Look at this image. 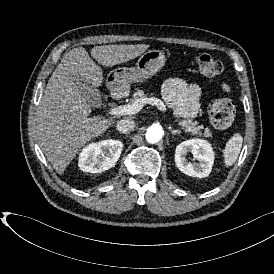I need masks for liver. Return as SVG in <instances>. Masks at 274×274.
<instances>
[{
  "label": "liver",
  "instance_id": "1",
  "mask_svg": "<svg viewBox=\"0 0 274 274\" xmlns=\"http://www.w3.org/2000/svg\"><path fill=\"white\" fill-rule=\"evenodd\" d=\"M150 45H102L90 56L103 68H111L142 55ZM87 50L75 47L61 60L40 99L36 133L40 148L57 173L63 175L82 148L104 133L118 119L94 116L86 95L103 86V70Z\"/></svg>",
  "mask_w": 274,
  "mask_h": 274
}]
</instances>
